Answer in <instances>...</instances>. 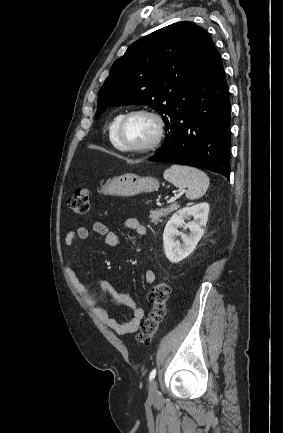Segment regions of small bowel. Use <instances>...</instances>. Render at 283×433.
<instances>
[{
	"mask_svg": "<svg viewBox=\"0 0 283 433\" xmlns=\"http://www.w3.org/2000/svg\"><path fill=\"white\" fill-rule=\"evenodd\" d=\"M124 225L127 229L135 231L139 236H145L147 229L136 218H128ZM95 232L104 237V242L111 247H115L120 243L119 236L116 232L110 230L101 222H92L89 226L78 227L75 231H70L65 236V245L71 247L77 240H86L90 237L91 232ZM66 272L75 290L86 300L90 310L98 317V319L108 328L117 334H131L139 329L140 323L145 315L144 308L137 304L129 295L117 293V299L127 306L132 311V318L126 322L116 320L108 310L99 305L95 298L90 294L86 285L80 280L75 268L74 258L69 256L66 261ZM156 274L153 270L148 269L144 274L146 283H154ZM100 289L103 293L113 291L112 286L106 282H100Z\"/></svg>",
	"mask_w": 283,
	"mask_h": 433,
	"instance_id": "small-bowel-1",
	"label": "small bowel"
}]
</instances>
